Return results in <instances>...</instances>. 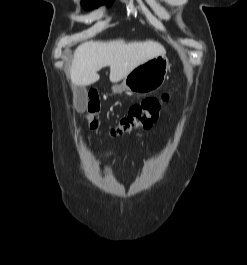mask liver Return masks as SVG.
I'll use <instances>...</instances> for the list:
<instances>
[{
    "label": "liver",
    "instance_id": "6515ba94",
    "mask_svg": "<svg viewBox=\"0 0 247 265\" xmlns=\"http://www.w3.org/2000/svg\"><path fill=\"white\" fill-rule=\"evenodd\" d=\"M165 53V48L153 40L88 41L75 50L70 70L71 81L75 86L91 85L100 79L97 72L109 66V79L117 83L137 66Z\"/></svg>",
    "mask_w": 247,
    "mask_h": 265
}]
</instances>
